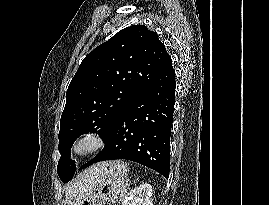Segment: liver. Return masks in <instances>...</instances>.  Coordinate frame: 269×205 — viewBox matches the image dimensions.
Segmentation results:
<instances>
[{"mask_svg":"<svg viewBox=\"0 0 269 205\" xmlns=\"http://www.w3.org/2000/svg\"><path fill=\"white\" fill-rule=\"evenodd\" d=\"M113 162H100L80 173L66 189V200L83 196L92 189L98 176Z\"/></svg>","mask_w":269,"mask_h":205,"instance_id":"obj_1","label":"liver"}]
</instances>
